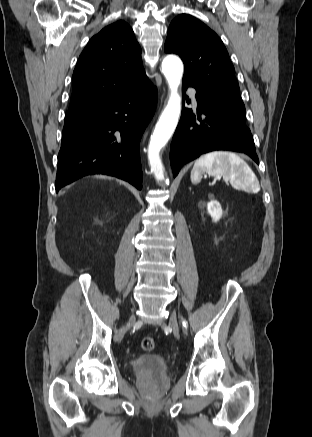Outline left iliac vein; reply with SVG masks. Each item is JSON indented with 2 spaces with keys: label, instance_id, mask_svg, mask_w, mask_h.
Instances as JSON below:
<instances>
[{
  "label": "left iliac vein",
  "instance_id": "obj_1",
  "mask_svg": "<svg viewBox=\"0 0 312 437\" xmlns=\"http://www.w3.org/2000/svg\"><path fill=\"white\" fill-rule=\"evenodd\" d=\"M170 325L173 328L174 334L179 335V327L175 313H171L170 315Z\"/></svg>",
  "mask_w": 312,
  "mask_h": 437
}]
</instances>
